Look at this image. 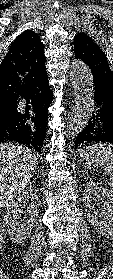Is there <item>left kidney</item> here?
<instances>
[{
    "mask_svg": "<svg viewBox=\"0 0 113 279\" xmlns=\"http://www.w3.org/2000/svg\"><path fill=\"white\" fill-rule=\"evenodd\" d=\"M95 198L105 200L101 210L95 209ZM83 204L92 226L100 235L113 240V192L90 180L84 185Z\"/></svg>",
    "mask_w": 113,
    "mask_h": 279,
    "instance_id": "1",
    "label": "left kidney"
}]
</instances>
